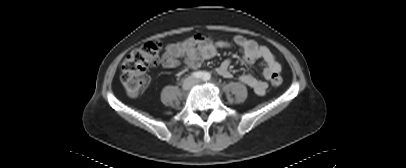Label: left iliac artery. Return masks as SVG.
I'll return each mask as SVG.
<instances>
[{
  "label": "left iliac artery",
  "mask_w": 406,
  "mask_h": 168,
  "mask_svg": "<svg viewBox=\"0 0 406 168\" xmlns=\"http://www.w3.org/2000/svg\"><path fill=\"white\" fill-rule=\"evenodd\" d=\"M210 78H211L210 74H209V73H205V74H204V77H203V80H204V81H208V80H210Z\"/></svg>",
  "instance_id": "44dca946"
}]
</instances>
